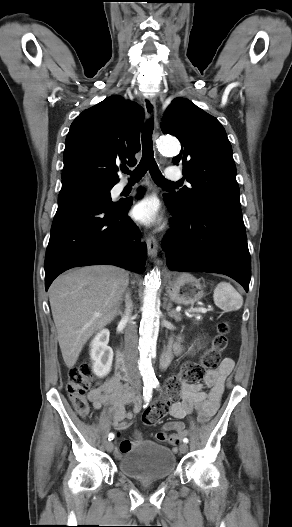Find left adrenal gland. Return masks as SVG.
I'll use <instances>...</instances> for the list:
<instances>
[{"label":"left adrenal gland","mask_w":292,"mask_h":527,"mask_svg":"<svg viewBox=\"0 0 292 527\" xmlns=\"http://www.w3.org/2000/svg\"><path fill=\"white\" fill-rule=\"evenodd\" d=\"M171 307H172V304L171 302L168 303L167 307H166V310L168 312V315L175 319L176 322L178 321H181V314L180 313H177L176 311L174 310H171Z\"/></svg>","instance_id":"a2214340"}]
</instances>
